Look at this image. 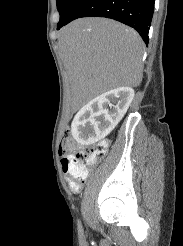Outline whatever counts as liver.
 <instances>
[{"mask_svg": "<svg viewBox=\"0 0 183 246\" xmlns=\"http://www.w3.org/2000/svg\"><path fill=\"white\" fill-rule=\"evenodd\" d=\"M58 43L72 98L79 105L142 81L144 43L134 29L117 21L77 19L61 29Z\"/></svg>", "mask_w": 183, "mask_h": 246, "instance_id": "liver-1", "label": "liver"}]
</instances>
